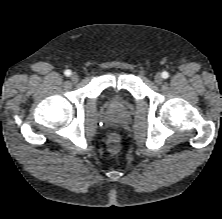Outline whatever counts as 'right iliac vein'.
Returning a JSON list of instances; mask_svg holds the SVG:
<instances>
[{
	"instance_id": "1",
	"label": "right iliac vein",
	"mask_w": 222,
	"mask_h": 219,
	"mask_svg": "<svg viewBox=\"0 0 222 219\" xmlns=\"http://www.w3.org/2000/svg\"><path fill=\"white\" fill-rule=\"evenodd\" d=\"M72 82H77L79 80V76L77 73L73 72L70 76Z\"/></svg>"
}]
</instances>
